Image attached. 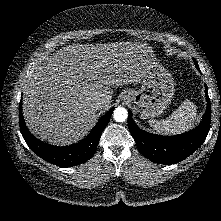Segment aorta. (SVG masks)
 I'll return each mask as SVG.
<instances>
[{
    "mask_svg": "<svg viewBox=\"0 0 221 221\" xmlns=\"http://www.w3.org/2000/svg\"><path fill=\"white\" fill-rule=\"evenodd\" d=\"M128 117V112L124 107H117L113 112V118L117 122H124Z\"/></svg>",
    "mask_w": 221,
    "mask_h": 221,
    "instance_id": "1",
    "label": "aorta"
}]
</instances>
